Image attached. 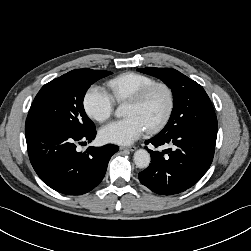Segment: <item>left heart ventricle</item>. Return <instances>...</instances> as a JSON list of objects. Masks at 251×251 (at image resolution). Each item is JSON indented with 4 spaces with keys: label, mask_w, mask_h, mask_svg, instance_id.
<instances>
[{
    "label": "left heart ventricle",
    "mask_w": 251,
    "mask_h": 251,
    "mask_svg": "<svg viewBox=\"0 0 251 251\" xmlns=\"http://www.w3.org/2000/svg\"><path fill=\"white\" fill-rule=\"evenodd\" d=\"M167 95L163 89H155L147 100L136 105L128 102L125 115L136 116L145 124L147 129L160 120L167 108Z\"/></svg>",
    "instance_id": "1"
}]
</instances>
